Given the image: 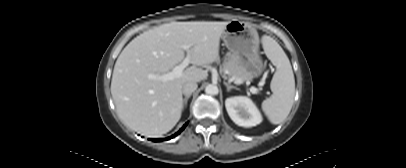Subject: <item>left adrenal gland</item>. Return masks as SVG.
<instances>
[{
    "label": "left adrenal gland",
    "mask_w": 406,
    "mask_h": 168,
    "mask_svg": "<svg viewBox=\"0 0 406 168\" xmlns=\"http://www.w3.org/2000/svg\"><path fill=\"white\" fill-rule=\"evenodd\" d=\"M223 83L227 87V91H230L231 89H238L236 86L230 85L229 83H227L225 81Z\"/></svg>",
    "instance_id": "1"
}]
</instances>
